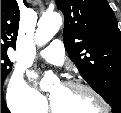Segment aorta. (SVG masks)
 I'll return each mask as SVG.
<instances>
[{
  "mask_svg": "<svg viewBox=\"0 0 121 113\" xmlns=\"http://www.w3.org/2000/svg\"><path fill=\"white\" fill-rule=\"evenodd\" d=\"M62 24V18L58 13L43 14L37 24L35 42L38 46L47 44L58 32ZM54 79L52 74H46L41 81L42 89H47V85Z\"/></svg>",
  "mask_w": 121,
  "mask_h": 113,
  "instance_id": "762f6f07",
  "label": "aorta"
}]
</instances>
